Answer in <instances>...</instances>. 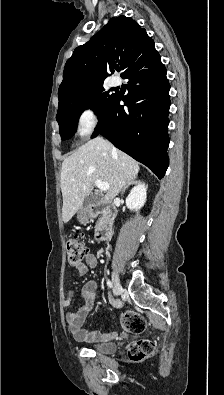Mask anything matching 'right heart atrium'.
I'll list each match as a JSON object with an SVG mask.
<instances>
[{
	"mask_svg": "<svg viewBox=\"0 0 224 395\" xmlns=\"http://www.w3.org/2000/svg\"><path fill=\"white\" fill-rule=\"evenodd\" d=\"M99 120L100 113L96 105L87 104L83 106L76 118L77 133L82 137L90 135L97 127Z\"/></svg>",
	"mask_w": 224,
	"mask_h": 395,
	"instance_id": "obj_1",
	"label": "right heart atrium"
}]
</instances>
